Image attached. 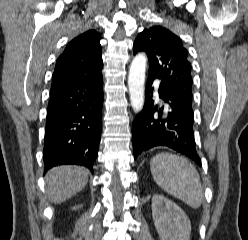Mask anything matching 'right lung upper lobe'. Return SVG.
Instances as JSON below:
<instances>
[{
    "instance_id": "cb5924a9",
    "label": "right lung upper lobe",
    "mask_w": 248,
    "mask_h": 240,
    "mask_svg": "<svg viewBox=\"0 0 248 240\" xmlns=\"http://www.w3.org/2000/svg\"><path fill=\"white\" fill-rule=\"evenodd\" d=\"M100 34L89 30L68 43L56 61L51 89L101 73L103 67Z\"/></svg>"
}]
</instances>
